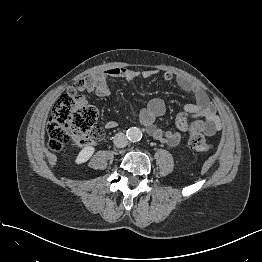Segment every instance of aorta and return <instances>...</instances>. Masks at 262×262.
Masks as SVG:
<instances>
[{
	"instance_id": "1",
	"label": "aorta",
	"mask_w": 262,
	"mask_h": 262,
	"mask_svg": "<svg viewBox=\"0 0 262 262\" xmlns=\"http://www.w3.org/2000/svg\"><path fill=\"white\" fill-rule=\"evenodd\" d=\"M127 137L130 141L137 142L142 138V132L137 127H131L127 130Z\"/></svg>"
}]
</instances>
